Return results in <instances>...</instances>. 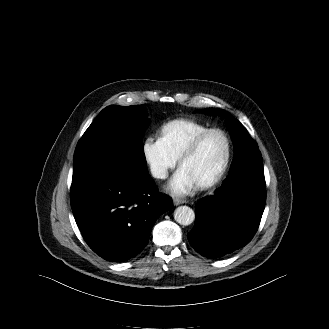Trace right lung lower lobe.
Listing matches in <instances>:
<instances>
[{
  "label": "right lung lower lobe",
  "instance_id": "right-lung-lower-lobe-1",
  "mask_svg": "<svg viewBox=\"0 0 329 329\" xmlns=\"http://www.w3.org/2000/svg\"><path fill=\"white\" fill-rule=\"evenodd\" d=\"M157 191L148 174L132 180L99 171L72 181V211L90 248L111 262L140 253L157 218L173 206Z\"/></svg>",
  "mask_w": 329,
  "mask_h": 329
}]
</instances>
